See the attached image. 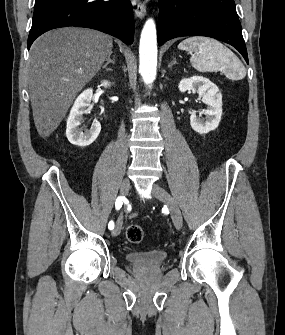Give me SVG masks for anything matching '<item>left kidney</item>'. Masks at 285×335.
<instances>
[{"label": "left kidney", "mask_w": 285, "mask_h": 335, "mask_svg": "<svg viewBox=\"0 0 285 335\" xmlns=\"http://www.w3.org/2000/svg\"><path fill=\"white\" fill-rule=\"evenodd\" d=\"M180 92H187L193 90L194 94H199L202 98L203 104H207V110H203L204 116H196L195 112H191L190 126L198 132V134H208L211 130H216L221 122L222 116V94L219 88L203 78V76H193V78H184L178 86Z\"/></svg>", "instance_id": "1"}]
</instances>
